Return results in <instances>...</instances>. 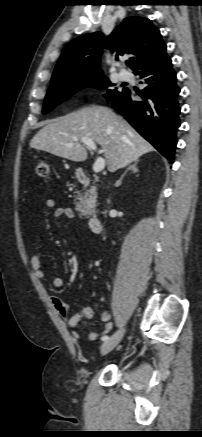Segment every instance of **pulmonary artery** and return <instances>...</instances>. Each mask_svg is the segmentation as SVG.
I'll return each mask as SVG.
<instances>
[{"label": "pulmonary artery", "instance_id": "e3ab8cb5", "mask_svg": "<svg viewBox=\"0 0 202 437\" xmlns=\"http://www.w3.org/2000/svg\"><path fill=\"white\" fill-rule=\"evenodd\" d=\"M119 78H120V80H122V81H126V80H129L130 75H129V73H128L127 71L122 70V71H120V73H119Z\"/></svg>", "mask_w": 202, "mask_h": 437}]
</instances>
